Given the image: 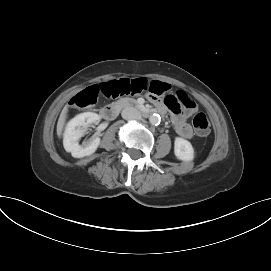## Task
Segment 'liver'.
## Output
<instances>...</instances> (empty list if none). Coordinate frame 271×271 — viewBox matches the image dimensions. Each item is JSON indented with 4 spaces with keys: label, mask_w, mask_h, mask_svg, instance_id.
Wrapping results in <instances>:
<instances>
[{
    "label": "liver",
    "mask_w": 271,
    "mask_h": 271,
    "mask_svg": "<svg viewBox=\"0 0 271 271\" xmlns=\"http://www.w3.org/2000/svg\"><path fill=\"white\" fill-rule=\"evenodd\" d=\"M67 112H68V105H66L64 107V109L62 110V113H61L60 118L58 120V124H57V134H58V136H61V134H62L63 127H64L66 117H67Z\"/></svg>",
    "instance_id": "1"
}]
</instances>
